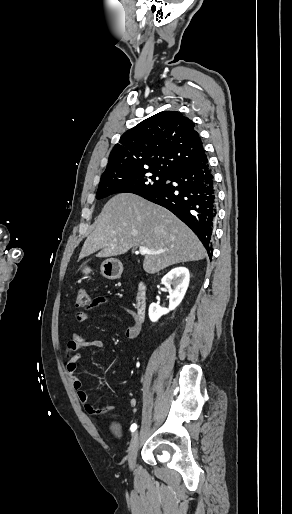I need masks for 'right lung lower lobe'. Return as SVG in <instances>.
<instances>
[{
    "mask_svg": "<svg viewBox=\"0 0 292 514\" xmlns=\"http://www.w3.org/2000/svg\"><path fill=\"white\" fill-rule=\"evenodd\" d=\"M168 180L171 182L142 197L167 208L190 227L211 258V235L217 209L214 177L207 156L177 170Z\"/></svg>",
    "mask_w": 292,
    "mask_h": 514,
    "instance_id": "obj_1",
    "label": "right lung lower lobe"
}]
</instances>
